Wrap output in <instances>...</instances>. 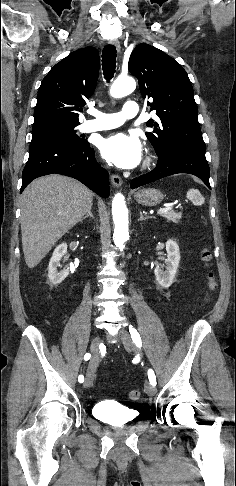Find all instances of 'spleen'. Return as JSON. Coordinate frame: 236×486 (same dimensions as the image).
<instances>
[{"mask_svg":"<svg viewBox=\"0 0 236 486\" xmlns=\"http://www.w3.org/2000/svg\"><path fill=\"white\" fill-rule=\"evenodd\" d=\"M187 198L196 206H200L204 203V197L201 195L199 190L197 189H190L187 192Z\"/></svg>","mask_w":236,"mask_h":486,"instance_id":"1","label":"spleen"}]
</instances>
